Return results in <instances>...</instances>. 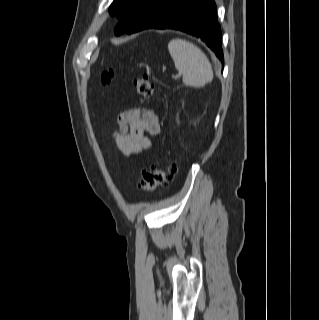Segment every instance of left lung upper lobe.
Wrapping results in <instances>:
<instances>
[{"mask_svg": "<svg viewBox=\"0 0 319 320\" xmlns=\"http://www.w3.org/2000/svg\"><path fill=\"white\" fill-rule=\"evenodd\" d=\"M157 0H114L109 8L111 16H116L119 24L115 34L127 32L131 25L148 10Z\"/></svg>", "mask_w": 319, "mask_h": 320, "instance_id": "left-lung-upper-lobe-1", "label": "left lung upper lobe"}]
</instances>
